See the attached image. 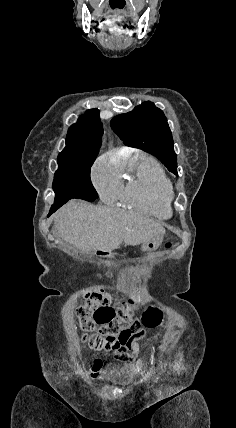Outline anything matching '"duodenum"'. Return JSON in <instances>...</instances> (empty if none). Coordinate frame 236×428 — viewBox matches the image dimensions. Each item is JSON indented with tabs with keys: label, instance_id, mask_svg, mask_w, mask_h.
I'll return each instance as SVG.
<instances>
[{
	"label": "duodenum",
	"instance_id": "duodenum-1",
	"mask_svg": "<svg viewBox=\"0 0 236 428\" xmlns=\"http://www.w3.org/2000/svg\"><path fill=\"white\" fill-rule=\"evenodd\" d=\"M98 254L103 258H110L112 256L111 252L106 250L99 251Z\"/></svg>",
	"mask_w": 236,
	"mask_h": 428
}]
</instances>
